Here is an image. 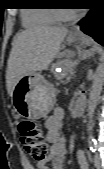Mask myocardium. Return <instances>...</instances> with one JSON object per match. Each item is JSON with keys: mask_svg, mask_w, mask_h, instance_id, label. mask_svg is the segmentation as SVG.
<instances>
[{"mask_svg": "<svg viewBox=\"0 0 104 169\" xmlns=\"http://www.w3.org/2000/svg\"><path fill=\"white\" fill-rule=\"evenodd\" d=\"M53 13L58 21H71L78 16V12L66 14L62 9H53Z\"/></svg>", "mask_w": 104, "mask_h": 169, "instance_id": "myocardium-1", "label": "myocardium"}]
</instances>
